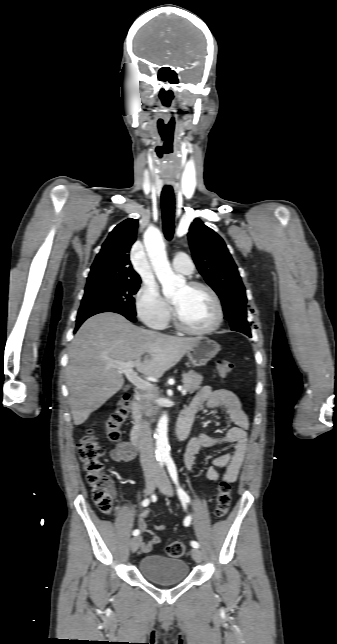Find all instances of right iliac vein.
I'll return each mask as SVG.
<instances>
[{"label": "right iliac vein", "mask_w": 337, "mask_h": 644, "mask_svg": "<svg viewBox=\"0 0 337 644\" xmlns=\"http://www.w3.org/2000/svg\"><path fill=\"white\" fill-rule=\"evenodd\" d=\"M158 482H159L158 477L155 475H149L146 478V491L148 494H151L154 491ZM141 540H142L141 536H136L131 539L130 548L132 552H136L138 550Z\"/></svg>", "instance_id": "obj_1"}]
</instances>
